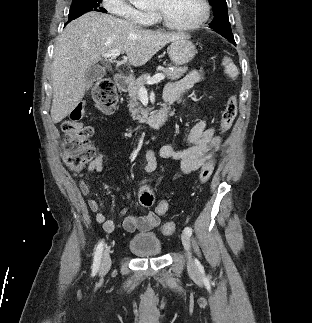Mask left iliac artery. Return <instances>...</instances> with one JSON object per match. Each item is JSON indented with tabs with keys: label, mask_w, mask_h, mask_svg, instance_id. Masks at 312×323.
<instances>
[{
	"label": "left iliac artery",
	"mask_w": 312,
	"mask_h": 323,
	"mask_svg": "<svg viewBox=\"0 0 312 323\" xmlns=\"http://www.w3.org/2000/svg\"><path fill=\"white\" fill-rule=\"evenodd\" d=\"M184 232H185L186 234H188V236H191V235H192V229H191L190 227H186V228L184 229Z\"/></svg>",
	"instance_id": "left-iliac-artery-1"
}]
</instances>
